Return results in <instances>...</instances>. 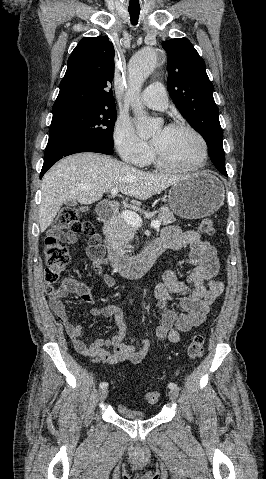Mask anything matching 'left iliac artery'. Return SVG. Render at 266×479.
<instances>
[{"label": "left iliac artery", "mask_w": 266, "mask_h": 479, "mask_svg": "<svg viewBox=\"0 0 266 479\" xmlns=\"http://www.w3.org/2000/svg\"><path fill=\"white\" fill-rule=\"evenodd\" d=\"M168 387H169L171 390H175V389L178 390V386H177V384H175V383H169V384H168Z\"/></svg>", "instance_id": "left-iliac-artery-1"}]
</instances>
